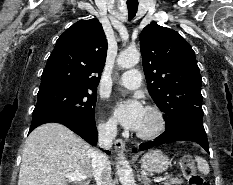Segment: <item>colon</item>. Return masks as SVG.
<instances>
[{
	"label": "colon",
	"mask_w": 233,
	"mask_h": 185,
	"mask_svg": "<svg viewBox=\"0 0 233 185\" xmlns=\"http://www.w3.org/2000/svg\"><path fill=\"white\" fill-rule=\"evenodd\" d=\"M181 170L188 185H207L202 175L197 172L194 161L189 156L183 158Z\"/></svg>",
	"instance_id": "1"
}]
</instances>
